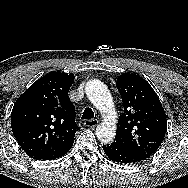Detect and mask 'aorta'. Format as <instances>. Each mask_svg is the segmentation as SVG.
<instances>
[{"instance_id": "aorta-1", "label": "aorta", "mask_w": 188, "mask_h": 188, "mask_svg": "<svg viewBox=\"0 0 188 188\" xmlns=\"http://www.w3.org/2000/svg\"><path fill=\"white\" fill-rule=\"evenodd\" d=\"M85 91L89 100L101 112L104 121L96 128V136L102 143L112 142L116 132V111L107 86L98 79L87 82Z\"/></svg>"}]
</instances>
